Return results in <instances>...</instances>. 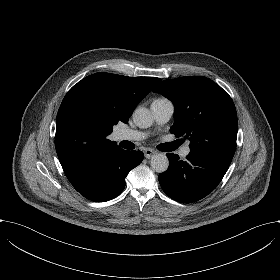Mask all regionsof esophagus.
Masks as SVG:
<instances>
[{
    "label": "esophagus",
    "mask_w": 280,
    "mask_h": 280,
    "mask_svg": "<svg viewBox=\"0 0 280 280\" xmlns=\"http://www.w3.org/2000/svg\"><path fill=\"white\" fill-rule=\"evenodd\" d=\"M156 153V151L154 150V149H152V148H146L145 150H144V155H145V157L146 158H150L153 154H155Z\"/></svg>",
    "instance_id": "esophagus-1"
}]
</instances>
